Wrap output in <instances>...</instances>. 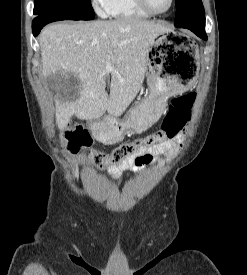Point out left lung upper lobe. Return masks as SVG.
<instances>
[{
  "label": "left lung upper lobe",
  "instance_id": "obj_1",
  "mask_svg": "<svg viewBox=\"0 0 247 275\" xmlns=\"http://www.w3.org/2000/svg\"><path fill=\"white\" fill-rule=\"evenodd\" d=\"M176 27L205 28L204 8L201 0H175Z\"/></svg>",
  "mask_w": 247,
  "mask_h": 275
}]
</instances>
